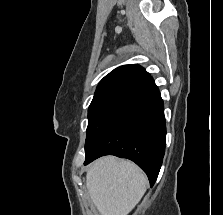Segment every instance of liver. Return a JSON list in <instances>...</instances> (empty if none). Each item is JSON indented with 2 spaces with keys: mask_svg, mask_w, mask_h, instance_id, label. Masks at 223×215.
I'll use <instances>...</instances> for the list:
<instances>
[{
  "mask_svg": "<svg viewBox=\"0 0 223 215\" xmlns=\"http://www.w3.org/2000/svg\"><path fill=\"white\" fill-rule=\"evenodd\" d=\"M86 185L101 215H127L143 197L148 179L136 163L105 155L87 171Z\"/></svg>",
  "mask_w": 223,
  "mask_h": 215,
  "instance_id": "obj_1",
  "label": "liver"
}]
</instances>
